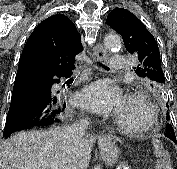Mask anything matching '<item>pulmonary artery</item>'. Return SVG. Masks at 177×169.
Instances as JSON below:
<instances>
[{
  "label": "pulmonary artery",
  "instance_id": "1",
  "mask_svg": "<svg viewBox=\"0 0 177 169\" xmlns=\"http://www.w3.org/2000/svg\"><path fill=\"white\" fill-rule=\"evenodd\" d=\"M109 63L112 71H120L124 68L126 61L123 56H113Z\"/></svg>",
  "mask_w": 177,
  "mask_h": 169
}]
</instances>
